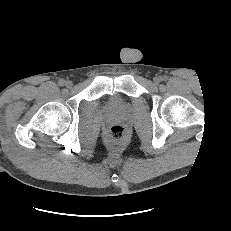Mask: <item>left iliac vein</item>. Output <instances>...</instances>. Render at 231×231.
Listing matches in <instances>:
<instances>
[{"label":"left iliac vein","mask_w":231,"mask_h":231,"mask_svg":"<svg viewBox=\"0 0 231 231\" xmlns=\"http://www.w3.org/2000/svg\"><path fill=\"white\" fill-rule=\"evenodd\" d=\"M160 81H161V79H160L159 77L153 78V82H154L155 84H159Z\"/></svg>","instance_id":"left-iliac-vein-1"}]
</instances>
